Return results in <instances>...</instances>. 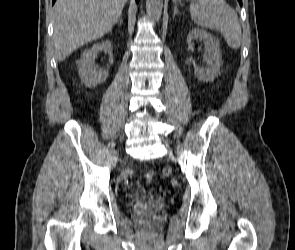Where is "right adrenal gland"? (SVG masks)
<instances>
[{"instance_id":"right-adrenal-gland-1","label":"right adrenal gland","mask_w":295,"mask_h":250,"mask_svg":"<svg viewBox=\"0 0 295 250\" xmlns=\"http://www.w3.org/2000/svg\"><path fill=\"white\" fill-rule=\"evenodd\" d=\"M117 23L119 22V23H122V16L120 15L119 16V18L117 19V21H116Z\"/></svg>"}]
</instances>
